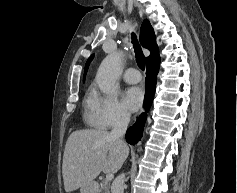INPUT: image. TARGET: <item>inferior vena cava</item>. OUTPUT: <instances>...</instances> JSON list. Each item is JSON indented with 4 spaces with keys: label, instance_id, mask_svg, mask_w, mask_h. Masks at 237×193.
<instances>
[{
    "label": "inferior vena cava",
    "instance_id": "602c4592",
    "mask_svg": "<svg viewBox=\"0 0 237 193\" xmlns=\"http://www.w3.org/2000/svg\"><path fill=\"white\" fill-rule=\"evenodd\" d=\"M129 121H130V115L126 112H120L115 120L114 127L110 132V136L114 139L119 140L122 144H124L122 138L127 130ZM124 181H125L124 174H120L119 176H117L112 183L111 192L123 193Z\"/></svg>",
    "mask_w": 237,
    "mask_h": 193
}]
</instances>
